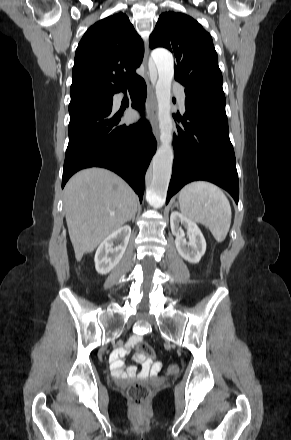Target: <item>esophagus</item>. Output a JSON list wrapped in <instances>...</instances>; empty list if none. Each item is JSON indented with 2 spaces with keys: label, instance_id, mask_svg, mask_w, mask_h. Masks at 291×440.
I'll list each match as a JSON object with an SVG mask.
<instances>
[{
  "label": "esophagus",
  "instance_id": "obj_1",
  "mask_svg": "<svg viewBox=\"0 0 291 440\" xmlns=\"http://www.w3.org/2000/svg\"><path fill=\"white\" fill-rule=\"evenodd\" d=\"M149 56V50L148 48L145 49V56L144 60L147 61ZM147 103L150 113V122L152 125L153 133L158 138L159 136V129H158V121H157V105H156V98H155V92L152 86L149 82H147Z\"/></svg>",
  "mask_w": 291,
  "mask_h": 440
}]
</instances>
